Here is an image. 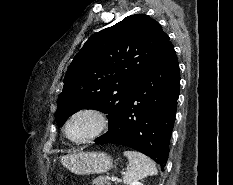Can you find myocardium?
I'll return each mask as SVG.
<instances>
[{
  "label": "myocardium",
  "instance_id": "myocardium-1",
  "mask_svg": "<svg viewBox=\"0 0 233 185\" xmlns=\"http://www.w3.org/2000/svg\"><path fill=\"white\" fill-rule=\"evenodd\" d=\"M84 114L92 115L97 119V128L89 136L83 139H80V140H75L71 138L69 135L70 124L75 117L79 115H84ZM108 127H109V117L105 111H103L100 108H96V107H86V108L79 109L70 115V117L66 121L64 131H65L66 137L71 142L75 144H84V143H88L100 137L108 129Z\"/></svg>",
  "mask_w": 233,
  "mask_h": 185
}]
</instances>
